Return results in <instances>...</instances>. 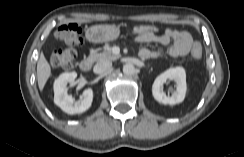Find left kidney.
<instances>
[{"mask_svg": "<svg viewBox=\"0 0 244 157\" xmlns=\"http://www.w3.org/2000/svg\"><path fill=\"white\" fill-rule=\"evenodd\" d=\"M167 80H173L176 83V90L171 96H167L163 91V85ZM186 73L184 68H170L161 73L152 85V94L155 100L163 104L175 105L181 103L186 94Z\"/></svg>", "mask_w": 244, "mask_h": 157, "instance_id": "1", "label": "left kidney"}]
</instances>
